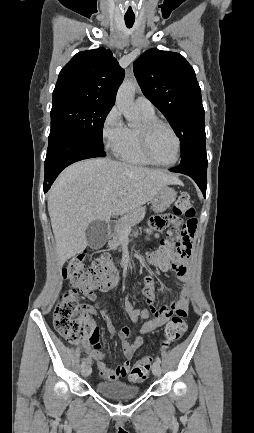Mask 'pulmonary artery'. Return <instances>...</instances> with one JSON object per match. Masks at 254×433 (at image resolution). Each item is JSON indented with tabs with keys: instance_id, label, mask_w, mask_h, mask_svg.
I'll use <instances>...</instances> for the list:
<instances>
[{
	"instance_id": "1",
	"label": "pulmonary artery",
	"mask_w": 254,
	"mask_h": 433,
	"mask_svg": "<svg viewBox=\"0 0 254 433\" xmlns=\"http://www.w3.org/2000/svg\"><path fill=\"white\" fill-rule=\"evenodd\" d=\"M136 106L140 112L153 114L154 106L152 102L144 96H139L136 101Z\"/></svg>"
}]
</instances>
